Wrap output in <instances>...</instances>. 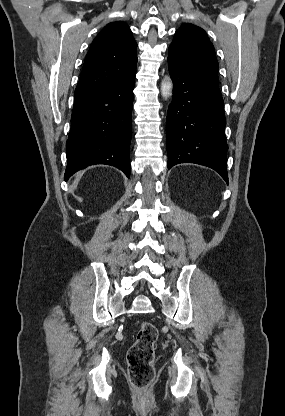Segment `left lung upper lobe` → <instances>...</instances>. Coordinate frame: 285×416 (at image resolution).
<instances>
[{"mask_svg": "<svg viewBox=\"0 0 285 416\" xmlns=\"http://www.w3.org/2000/svg\"><path fill=\"white\" fill-rule=\"evenodd\" d=\"M168 62L211 85L218 86V62L205 31L185 23L176 31L169 46Z\"/></svg>", "mask_w": 285, "mask_h": 416, "instance_id": "5c2ea615", "label": "left lung upper lobe"}]
</instances>
